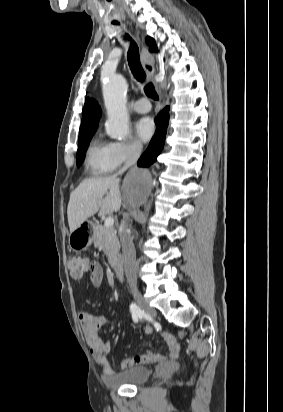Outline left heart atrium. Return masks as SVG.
<instances>
[{"instance_id":"left-heart-atrium-1","label":"left heart atrium","mask_w":283,"mask_h":412,"mask_svg":"<svg viewBox=\"0 0 283 412\" xmlns=\"http://www.w3.org/2000/svg\"><path fill=\"white\" fill-rule=\"evenodd\" d=\"M155 131V125L152 119L143 118L136 125V132L140 140L147 142L151 139Z\"/></svg>"}]
</instances>
